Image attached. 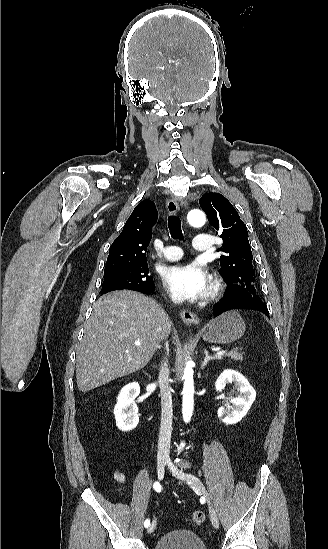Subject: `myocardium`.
<instances>
[{
	"instance_id": "obj_1",
	"label": "myocardium",
	"mask_w": 328,
	"mask_h": 549,
	"mask_svg": "<svg viewBox=\"0 0 328 549\" xmlns=\"http://www.w3.org/2000/svg\"><path fill=\"white\" fill-rule=\"evenodd\" d=\"M222 284L220 281L218 280H215L212 284V289H211V293H210V297L212 299L216 298L219 296V294L221 293L222 291Z\"/></svg>"
}]
</instances>
